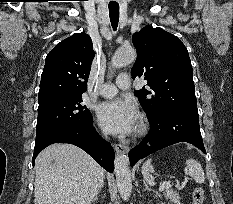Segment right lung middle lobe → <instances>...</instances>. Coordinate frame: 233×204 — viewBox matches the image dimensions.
<instances>
[{"instance_id":"1","label":"right lung middle lobe","mask_w":233,"mask_h":204,"mask_svg":"<svg viewBox=\"0 0 233 204\" xmlns=\"http://www.w3.org/2000/svg\"><path fill=\"white\" fill-rule=\"evenodd\" d=\"M82 102L81 95L52 97L38 101L35 141L65 129L90 123L91 113Z\"/></svg>"}]
</instances>
